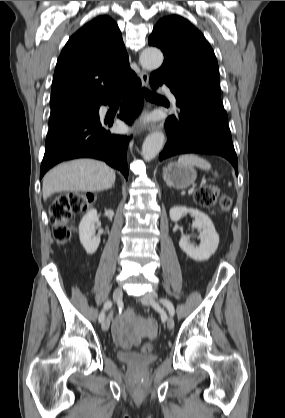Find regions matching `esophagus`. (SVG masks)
<instances>
[{
  "instance_id": "obj_1",
  "label": "esophagus",
  "mask_w": 285,
  "mask_h": 418,
  "mask_svg": "<svg viewBox=\"0 0 285 418\" xmlns=\"http://www.w3.org/2000/svg\"><path fill=\"white\" fill-rule=\"evenodd\" d=\"M139 77L141 79V82L143 84V86H147L148 85V81H149V75L145 70H141ZM144 129H147L148 131H154V130H160L161 129V125L159 124H150L145 128H137V131H142Z\"/></svg>"
}]
</instances>
